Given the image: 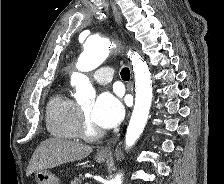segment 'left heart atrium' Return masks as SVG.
Segmentation results:
<instances>
[{
    "instance_id": "1",
    "label": "left heart atrium",
    "mask_w": 224,
    "mask_h": 184,
    "mask_svg": "<svg viewBox=\"0 0 224 184\" xmlns=\"http://www.w3.org/2000/svg\"><path fill=\"white\" fill-rule=\"evenodd\" d=\"M124 115V107L118 96L110 92L100 94L91 111V121L104 129H110L119 124Z\"/></svg>"
}]
</instances>
